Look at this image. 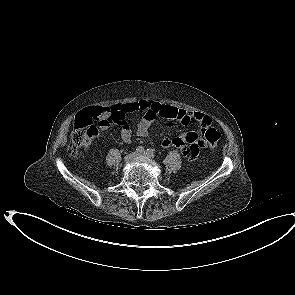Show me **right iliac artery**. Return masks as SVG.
I'll use <instances>...</instances> for the list:
<instances>
[{
	"label": "right iliac artery",
	"instance_id": "right-iliac-artery-1",
	"mask_svg": "<svg viewBox=\"0 0 295 295\" xmlns=\"http://www.w3.org/2000/svg\"><path fill=\"white\" fill-rule=\"evenodd\" d=\"M136 151H137V153H142L144 151V147L138 146Z\"/></svg>",
	"mask_w": 295,
	"mask_h": 295
}]
</instances>
